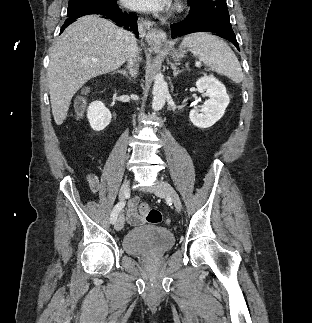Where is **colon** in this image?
Returning <instances> with one entry per match:
<instances>
[{
    "mask_svg": "<svg viewBox=\"0 0 312 323\" xmlns=\"http://www.w3.org/2000/svg\"><path fill=\"white\" fill-rule=\"evenodd\" d=\"M138 210L146 216V221L150 224H160L161 212L157 208H153L147 203H141L138 206Z\"/></svg>",
    "mask_w": 312,
    "mask_h": 323,
    "instance_id": "5ec220e1",
    "label": "colon"
}]
</instances>
